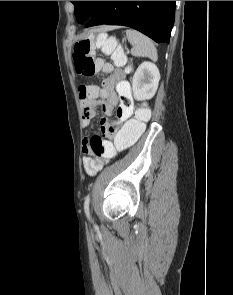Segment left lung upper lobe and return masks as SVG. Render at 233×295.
<instances>
[{"label": "left lung upper lobe", "instance_id": "obj_1", "mask_svg": "<svg viewBox=\"0 0 233 295\" xmlns=\"http://www.w3.org/2000/svg\"><path fill=\"white\" fill-rule=\"evenodd\" d=\"M74 6V14L77 21L82 23L88 16H91L96 11L101 1H71Z\"/></svg>", "mask_w": 233, "mask_h": 295}]
</instances>
